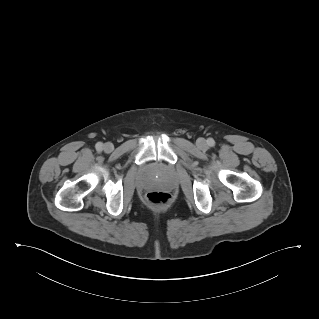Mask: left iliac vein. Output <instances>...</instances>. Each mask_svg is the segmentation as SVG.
<instances>
[{"label":"left iliac vein","mask_w":319,"mask_h":319,"mask_svg":"<svg viewBox=\"0 0 319 319\" xmlns=\"http://www.w3.org/2000/svg\"><path fill=\"white\" fill-rule=\"evenodd\" d=\"M197 146H198L199 148L205 149V148L207 147L206 140L203 139V138H199V139L197 140Z\"/></svg>","instance_id":"left-iliac-vein-1"}]
</instances>
